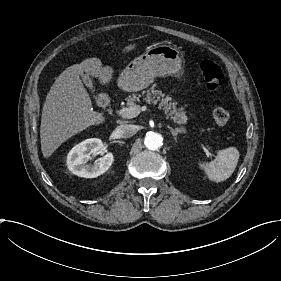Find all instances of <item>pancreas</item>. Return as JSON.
I'll use <instances>...</instances> for the list:
<instances>
[{
	"label": "pancreas",
	"mask_w": 281,
	"mask_h": 281,
	"mask_svg": "<svg viewBox=\"0 0 281 281\" xmlns=\"http://www.w3.org/2000/svg\"><path fill=\"white\" fill-rule=\"evenodd\" d=\"M142 94H146L143 101H145L147 104H157L159 102V107H164L163 110L165 113H168L169 115L174 114L175 116L171 117L173 120H178V122H185L187 120L185 112H182L179 115V111L175 106V103L172 102L171 97L162 98L164 96L162 91L149 88L146 91H143ZM140 97L141 95L135 94H133L132 97H126V105L132 106L135 101H140Z\"/></svg>",
	"instance_id": "pancreas-1"
}]
</instances>
